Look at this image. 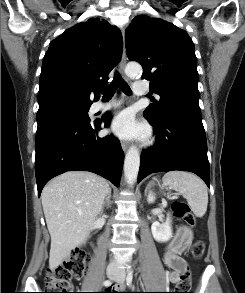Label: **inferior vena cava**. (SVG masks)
I'll list each match as a JSON object with an SVG mask.
<instances>
[{
  "label": "inferior vena cava",
  "instance_id": "602c4592",
  "mask_svg": "<svg viewBox=\"0 0 245 293\" xmlns=\"http://www.w3.org/2000/svg\"><path fill=\"white\" fill-rule=\"evenodd\" d=\"M109 268L114 269V270H118L119 269V264L112 260L111 263L109 264Z\"/></svg>",
  "mask_w": 245,
  "mask_h": 293
}]
</instances>
